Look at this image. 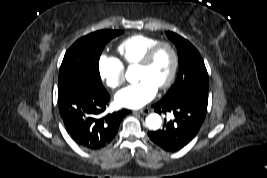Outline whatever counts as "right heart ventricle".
Listing matches in <instances>:
<instances>
[{
    "label": "right heart ventricle",
    "mask_w": 267,
    "mask_h": 178,
    "mask_svg": "<svg viewBox=\"0 0 267 178\" xmlns=\"http://www.w3.org/2000/svg\"><path fill=\"white\" fill-rule=\"evenodd\" d=\"M159 41L160 39L153 36L143 34L132 35L120 42L117 46V52L125 65H135Z\"/></svg>",
    "instance_id": "e07e8e85"
}]
</instances>
